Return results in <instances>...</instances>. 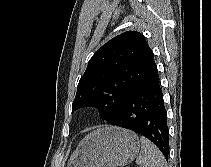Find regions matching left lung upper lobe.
<instances>
[{
    "label": "left lung upper lobe",
    "instance_id": "1",
    "mask_svg": "<svg viewBox=\"0 0 211 167\" xmlns=\"http://www.w3.org/2000/svg\"><path fill=\"white\" fill-rule=\"evenodd\" d=\"M156 69L153 52L141 33L127 31L112 38L89 60L78 83L72 112L94 106L108 122Z\"/></svg>",
    "mask_w": 211,
    "mask_h": 167
}]
</instances>
